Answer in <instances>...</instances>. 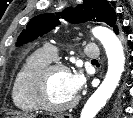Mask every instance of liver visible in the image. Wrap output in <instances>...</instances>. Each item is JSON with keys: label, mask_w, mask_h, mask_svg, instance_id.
I'll use <instances>...</instances> for the list:
<instances>
[{"label": "liver", "mask_w": 133, "mask_h": 118, "mask_svg": "<svg viewBox=\"0 0 133 118\" xmlns=\"http://www.w3.org/2000/svg\"><path fill=\"white\" fill-rule=\"evenodd\" d=\"M11 114L14 115V118H36V115L34 114H26L21 112H13Z\"/></svg>", "instance_id": "6515ba94"}]
</instances>
